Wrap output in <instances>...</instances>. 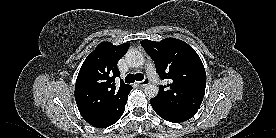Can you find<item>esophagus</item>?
Returning a JSON list of instances; mask_svg holds the SVG:
<instances>
[{
	"mask_svg": "<svg viewBox=\"0 0 276 138\" xmlns=\"http://www.w3.org/2000/svg\"><path fill=\"white\" fill-rule=\"evenodd\" d=\"M149 84V80L146 78V79H144V80H142V81H140V82H138V85L140 86V87H145V86H147Z\"/></svg>",
	"mask_w": 276,
	"mask_h": 138,
	"instance_id": "obj_1",
	"label": "esophagus"
}]
</instances>
